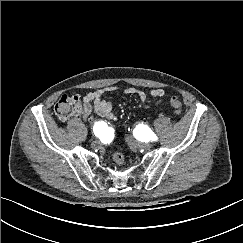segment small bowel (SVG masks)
Returning <instances> with one entry per match:
<instances>
[{
	"mask_svg": "<svg viewBox=\"0 0 243 243\" xmlns=\"http://www.w3.org/2000/svg\"><path fill=\"white\" fill-rule=\"evenodd\" d=\"M111 91H121L127 95H135L139 98L143 107H149L147 95L145 92L133 87L120 89L117 86H109L86 94L79 108L74 112L73 116L82 115L83 118L87 120L92 114H97L107 120H115L117 117L112 110V103L111 101L104 98V95ZM150 96L157 99V103H160L165 96V92L160 88L152 89L150 91ZM104 133L106 138H111L113 135V131L108 125H105Z\"/></svg>",
	"mask_w": 243,
	"mask_h": 243,
	"instance_id": "small-bowel-1",
	"label": "small bowel"
}]
</instances>
